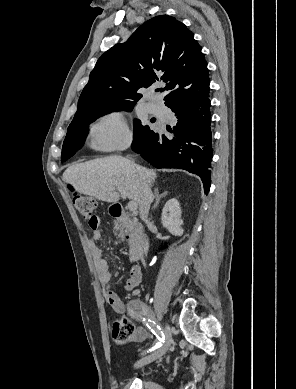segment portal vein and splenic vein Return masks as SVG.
Masks as SVG:
<instances>
[{
    "label": "portal vein and splenic vein",
    "mask_w": 296,
    "mask_h": 389,
    "mask_svg": "<svg viewBox=\"0 0 296 389\" xmlns=\"http://www.w3.org/2000/svg\"><path fill=\"white\" fill-rule=\"evenodd\" d=\"M120 193H121V197L123 199H126L125 193L123 191H120ZM127 209L131 212H134L137 209V204L134 201H130L128 202Z\"/></svg>",
    "instance_id": "obj_1"
}]
</instances>
